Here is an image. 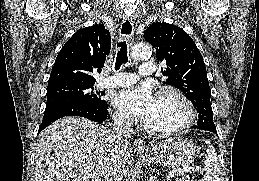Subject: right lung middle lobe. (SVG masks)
I'll return each mask as SVG.
<instances>
[{
	"instance_id": "dd1d6c3e",
	"label": "right lung middle lobe",
	"mask_w": 259,
	"mask_h": 181,
	"mask_svg": "<svg viewBox=\"0 0 259 181\" xmlns=\"http://www.w3.org/2000/svg\"><path fill=\"white\" fill-rule=\"evenodd\" d=\"M93 85L61 83L48 86L45 111L64 103H85L93 106L107 103L99 97L100 92H93Z\"/></svg>"
}]
</instances>
